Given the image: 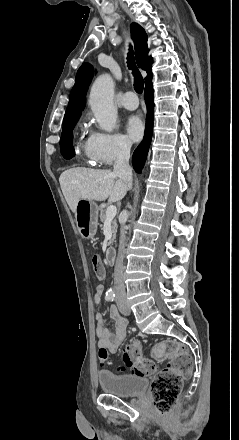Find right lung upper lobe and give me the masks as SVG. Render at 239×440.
Here are the masks:
<instances>
[{
	"instance_id": "obj_1",
	"label": "right lung upper lobe",
	"mask_w": 239,
	"mask_h": 440,
	"mask_svg": "<svg viewBox=\"0 0 239 440\" xmlns=\"http://www.w3.org/2000/svg\"><path fill=\"white\" fill-rule=\"evenodd\" d=\"M131 36L134 41L135 58L137 65L147 72V77L152 74L151 68L153 59L148 56L147 34L137 23L130 26ZM94 74L93 67L84 63L76 74L75 84L70 93V99L63 120V125L79 119L85 107V94Z\"/></svg>"
}]
</instances>
